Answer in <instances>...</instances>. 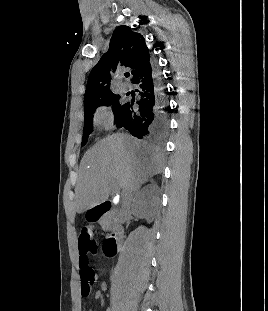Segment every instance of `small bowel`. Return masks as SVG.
Listing matches in <instances>:
<instances>
[{
	"label": "small bowel",
	"mask_w": 268,
	"mask_h": 311,
	"mask_svg": "<svg viewBox=\"0 0 268 311\" xmlns=\"http://www.w3.org/2000/svg\"><path fill=\"white\" fill-rule=\"evenodd\" d=\"M101 288H102V290H105V289H106V285H105V284H102V285H101ZM81 295L84 296L83 293H82V286H81ZM95 297H96L97 299H100V298L102 297V292H101V291H98V292L96 293Z\"/></svg>",
	"instance_id": "c3829d8e"
}]
</instances>
